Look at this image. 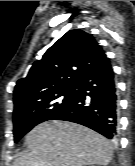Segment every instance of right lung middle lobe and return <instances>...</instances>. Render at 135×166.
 Returning a JSON list of instances; mask_svg holds the SVG:
<instances>
[{"mask_svg": "<svg viewBox=\"0 0 135 166\" xmlns=\"http://www.w3.org/2000/svg\"><path fill=\"white\" fill-rule=\"evenodd\" d=\"M75 87L62 90L42 100L28 103L14 109V141L18 142L34 126L67 108L74 100Z\"/></svg>", "mask_w": 135, "mask_h": 166, "instance_id": "obj_1", "label": "right lung middle lobe"}]
</instances>
